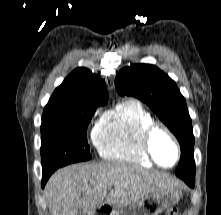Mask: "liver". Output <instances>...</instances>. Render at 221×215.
<instances>
[{
	"label": "liver",
	"instance_id": "liver-1",
	"mask_svg": "<svg viewBox=\"0 0 221 215\" xmlns=\"http://www.w3.org/2000/svg\"><path fill=\"white\" fill-rule=\"evenodd\" d=\"M113 187L107 193V189ZM183 184L164 173L123 162L81 163L56 171L45 194L51 215H90L104 199L119 208Z\"/></svg>",
	"mask_w": 221,
	"mask_h": 215
}]
</instances>
